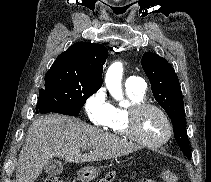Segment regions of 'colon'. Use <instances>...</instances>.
Segmentation results:
<instances>
[{
	"mask_svg": "<svg viewBox=\"0 0 211 182\" xmlns=\"http://www.w3.org/2000/svg\"><path fill=\"white\" fill-rule=\"evenodd\" d=\"M161 176L165 182H176L175 173L164 170L161 172ZM116 177V172L111 171L107 173L103 178L100 179L99 182H112ZM45 182H63L59 176L49 175L46 177Z\"/></svg>",
	"mask_w": 211,
	"mask_h": 182,
	"instance_id": "obj_1",
	"label": "colon"
}]
</instances>
